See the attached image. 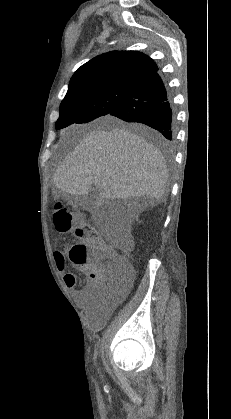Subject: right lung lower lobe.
I'll return each mask as SVG.
<instances>
[{"instance_id": "1", "label": "right lung lower lobe", "mask_w": 231, "mask_h": 419, "mask_svg": "<svg viewBox=\"0 0 231 419\" xmlns=\"http://www.w3.org/2000/svg\"><path fill=\"white\" fill-rule=\"evenodd\" d=\"M108 115L128 122L146 124L158 130L166 139L175 137V114L172 97L157 70L141 78L129 95Z\"/></svg>"}]
</instances>
